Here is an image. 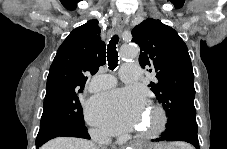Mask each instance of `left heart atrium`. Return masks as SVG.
Listing matches in <instances>:
<instances>
[{
	"instance_id": "obj_1",
	"label": "left heart atrium",
	"mask_w": 227,
	"mask_h": 149,
	"mask_svg": "<svg viewBox=\"0 0 227 149\" xmlns=\"http://www.w3.org/2000/svg\"><path fill=\"white\" fill-rule=\"evenodd\" d=\"M145 108L143 94L119 89L93 96L86 106L87 120L110 134H120L139 125Z\"/></svg>"
}]
</instances>
